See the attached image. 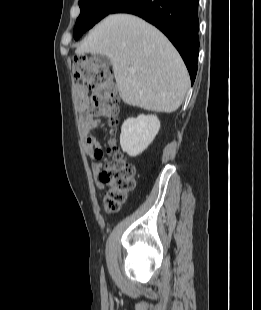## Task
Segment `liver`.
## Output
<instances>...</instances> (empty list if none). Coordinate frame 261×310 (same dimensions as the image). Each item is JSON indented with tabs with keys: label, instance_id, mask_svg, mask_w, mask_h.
Segmentation results:
<instances>
[{
	"label": "liver",
	"instance_id": "1",
	"mask_svg": "<svg viewBox=\"0 0 261 310\" xmlns=\"http://www.w3.org/2000/svg\"><path fill=\"white\" fill-rule=\"evenodd\" d=\"M75 52L109 57L119 95L128 105L171 113L180 107L189 88L188 71L170 41L134 15H109Z\"/></svg>",
	"mask_w": 261,
	"mask_h": 310
}]
</instances>
